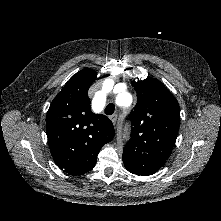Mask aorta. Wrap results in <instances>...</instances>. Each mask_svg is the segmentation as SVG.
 <instances>
[{
    "label": "aorta",
    "mask_w": 221,
    "mask_h": 221,
    "mask_svg": "<svg viewBox=\"0 0 221 221\" xmlns=\"http://www.w3.org/2000/svg\"><path fill=\"white\" fill-rule=\"evenodd\" d=\"M121 96L126 99L128 104L131 103L132 96L128 92H124L123 94H121Z\"/></svg>",
    "instance_id": "1"
}]
</instances>
